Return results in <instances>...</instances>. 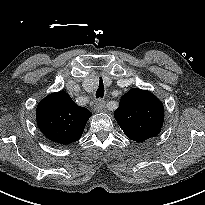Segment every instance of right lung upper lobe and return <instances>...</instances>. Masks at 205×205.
<instances>
[{"label":"right lung upper lobe","instance_id":"1","mask_svg":"<svg viewBox=\"0 0 205 205\" xmlns=\"http://www.w3.org/2000/svg\"><path fill=\"white\" fill-rule=\"evenodd\" d=\"M91 115L88 109L75 104L65 91L48 95L36 110L39 129L49 140L60 144L78 141Z\"/></svg>","mask_w":205,"mask_h":205}]
</instances>
